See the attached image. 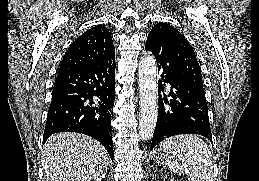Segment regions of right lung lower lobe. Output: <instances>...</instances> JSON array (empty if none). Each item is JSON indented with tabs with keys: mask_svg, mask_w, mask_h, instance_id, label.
Segmentation results:
<instances>
[{
	"mask_svg": "<svg viewBox=\"0 0 259 181\" xmlns=\"http://www.w3.org/2000/svg\"><path fill=\"white\" fill-rule=\"evenodd\" d=\"M115 57L58 74L43 143L57 132H79L98 140L113 159L111 119L115 99Z\"/></svg>",
	"mask_w": 259,
	"mask_h": 181,
	"instance_id": "98d812e1",
	"label": "right lung lower lobe"
}]
</instances>
